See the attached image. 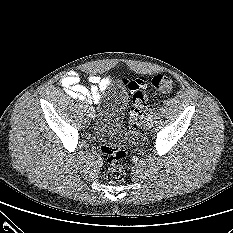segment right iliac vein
Here are the masks:
<instances>
[{"label": "right iliac vein", "instance_id": "right-iliac-vein-1", "mask_svg": "<svg viewBox=\"0 0 233 233\" xmlns=\"http://www.w3.org/2000/svg\"><path fill=\"white\" fill-rule=\"evenodd\" d=\"M87 116L89 118H93L94 117V109L92 107H88L86 110Z\"/></svg>", "mask_w": 233, "mask_h": 233}]
</instances>
